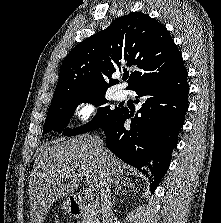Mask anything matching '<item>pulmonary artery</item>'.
Returning a JSON list of instances; mask_svg holds the SVG:
<instances>
[{"label":"pulmonary artery","mask_w":221,"mask_h":223,"mask_svg":"<svg viewBox=\"0 0 221 223\" xmlns=\"http://www.w3.org/2000/svg\"><path fill=\"white\" fill-rule=\"evenodd\" d=\"M115 98L118 99V100H122V99L126 98V92H125V90L118 89L115 92Z\"/></svg>","instance_id":"e3ab8cb5"}]
</instances>
